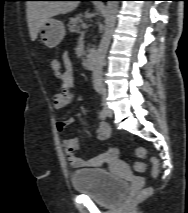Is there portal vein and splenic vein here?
<instances>
[{
    "label": "portal vein and splenic vein",
    "mask_w": 188,
    "mask_h": 213,
    "mask_svg": "<svg viewBox=\"0 0 188 213\" xmlns=\"http://www.w3.org/2000/svg\"><path fill=\"white\" fill-rule=\"evenodd\" d=\"M82 28H83V29H86V28H87V25H86L85 23H83V24H82Z\"/></svg>",
    "instance_id": "obj_1"
}]
</instances>
